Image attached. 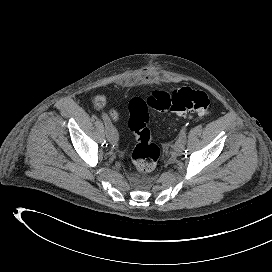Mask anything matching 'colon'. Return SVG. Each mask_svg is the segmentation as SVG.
Here are the masks:
<instances>
[{
  "label": "colon",
  "instance_id": "1",
  "mask_svg": "<svg viewBox=\"0 0 272 272\" xmlns=\"http://www.w3.org/2000/svg\"><path fill=\"white\" fill-rule=\"evenodd\" d=\"M170 111L177 114L206 115L210 109L208 95L199 89L182 87L177 91H153L146 98L133 97L128 103V126L134 133L136 145L132 162L141 173L153 171L160 157V149L151 140L149 129L150 110Z\"/></svg>",
  "mask_w": 272,
  "mask_h": 272
}]
</instances>
